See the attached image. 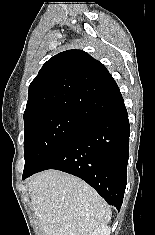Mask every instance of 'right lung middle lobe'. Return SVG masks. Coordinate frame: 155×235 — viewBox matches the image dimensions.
<instances>
[{
	"label": "right lung middle lobe",
	"instance_id": "1",
	"mask_svg": "<svg viewBox=\"0 0 155 235\" xmlns=\"http://www.w3.org/2000/svg\"><path fill=\"white\" fill-rule=\"evenodd\" d=\"M88 121L61 108H43L24 115V172L39 168Z\"/></svg>",
	"mask_w": 155,
	"mask_h": 235
}]
</instances>
